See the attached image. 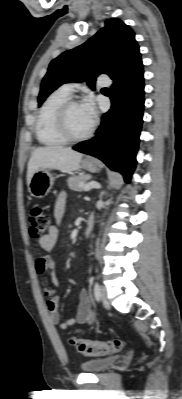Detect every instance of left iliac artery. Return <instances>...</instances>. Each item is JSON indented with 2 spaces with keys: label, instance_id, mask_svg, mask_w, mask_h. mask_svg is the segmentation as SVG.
Returning a JSON list of instances; mask_svg holds the SVG:
<instances>
[{
  "label": "left iliac artery",
  "instance_id": "obj_1",
  "mask_svg": "<svg viewBox=\"0 0 182 399\" xmlns=\"http://www.w3.org/2000/svg\"><path fill=\"white\" fill-rule=\"evenodd\" d=\"M100 295H101V288L100 285L96 282L94 284V297L97 301L100 300Z\"/></svg>",
  "mask_w": 182,
  "mask_h": 399
}]
</instances>
